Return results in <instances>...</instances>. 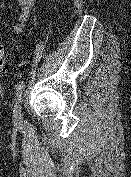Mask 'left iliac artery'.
<instances>
[{
  "instance_id": "44dca946",
  "label": "left iliac artery",
  "mask_w": 131,
  "mask_h": 177,
  "mask_svg": "<svg viewBox=\"0 0 131 177\" xmlns=\"http://www.w3.org/2000/svg\"><path fill=\"white\" fill-rule=\"evenodd\" d=\"M25 87V82L22 80L16 86V97L19 100Z\"/></svg>"
}]
</instances>
